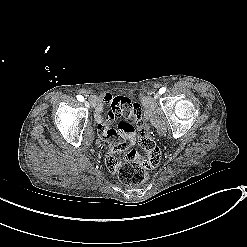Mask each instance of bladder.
I'll return each instance as SVG.
<instances>
[{
    "instance_id": "obj_1",
    "label": "bladder",
    "mask_w": 247,
    "mask_h": 247,
    "mask_svg": "<svg viewBox=\"0 0 247 247\" xmlns=\"http://www.w3.org/2000/svg\"><path fill=\"white\" fill-rule=\"evenodd\" d=\"M142 125H144V126H149V120H144V121L142 122Z\"/></svg>"
}]
</instances>
